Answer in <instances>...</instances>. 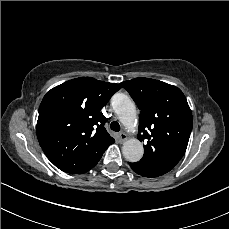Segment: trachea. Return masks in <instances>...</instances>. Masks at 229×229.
<instances>
[{
	"instance_id": "trachea-1",
	"label": "trachea",
	"mask_w": 229,
	"mask_h": 229,
	"mask_svg": "<svg viewBox=\"0 0 229 229\" xmlns=\"http://www.w3.org/2000/svg\"><path fill=\"white\" fill-rule=\"evenodd\" d=\"M110 128H111V130H113L115 132H119L120 131V124L117 121H112L110 123Z\"/></svg>"
}]
</instances>
